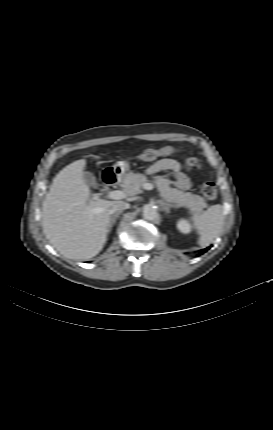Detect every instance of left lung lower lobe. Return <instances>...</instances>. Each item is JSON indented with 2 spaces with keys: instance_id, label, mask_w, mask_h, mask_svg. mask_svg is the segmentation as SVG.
<instances>
[{
  "instance_id": "obj_1",
  "label": "left lung lower lobe",
  "mask_w": 273,
  "mask_h": 430,
  "mask_svg": "<svg viewBox=\"0 0 273 430\" xmlns=\"http://www.w3.org/2000/svg\"><path fill=\"white\" fill-rule=\"evenodd\" d=\"M208 250V248H206V249H203V250H201L200 252H199V254H203L204 252H206Z\"/></svg>"
}]
</instances>
